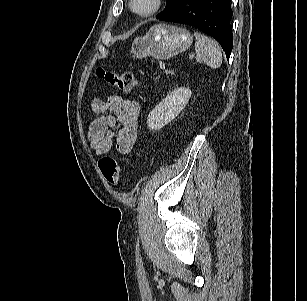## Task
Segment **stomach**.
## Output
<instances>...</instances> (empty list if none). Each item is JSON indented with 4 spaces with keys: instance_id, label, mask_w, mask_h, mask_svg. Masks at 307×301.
Here are the masks:
<instances>
[{
    "instance_id": "0dacf381",
    "label": "stomach",
    "mask_w": 307,
    "mask_h": 301,
    "mask_svg": "<svg viewBox=\"0 0 307 301\" xmlns=\"http://www.w3.org/2000/svg\"><path fill=\"white\" fill-rule=\"evenodd\" d=\"M192 41V35L184 28L157 24L143 37L135 38L131 52L137 58L152 56L157 59H168L186 51Z\"/></svg>"
}]
</instances>
